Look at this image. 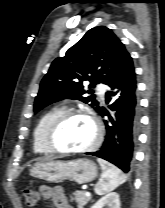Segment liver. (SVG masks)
I'll list each match as a JSON object with an SVG mask.
<instances>
[{"label":"liver","instance_id":"obj_1","mask_svg":"<svg viewBox=\"0 0 165 208\" xmlns=\"http://www.w3.org/2000/svg\"><path fill=\"white\" fill-rule=\"evenodd\" d=\"M53 158H47V160H52Z\"/></svg>","mask_w":165,"mask_h":208}]
</instances>
